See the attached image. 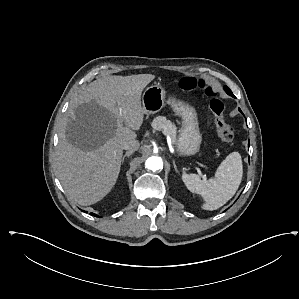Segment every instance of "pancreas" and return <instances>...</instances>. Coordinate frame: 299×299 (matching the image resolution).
I'll return each mask as SVG.
<instances>
[{
  "label": "pancreas",
  "instance_id": "pancreas-1",
  "mask_svg": "<svg viewBox=\"0 0 299 299\" xmlns=\"http://www.w3.org/2000/svg\"><path fill=\"white\" fill-rule=\"evenodd\" d=\"M151 125L155 130H160L164 135L169 136L173 143H176L177 128L170 120H167L165 117L158 116L153 120Z\"/></svg>",
  "mask_w": 299,
  "mask_h": 299
}]
</instances>
